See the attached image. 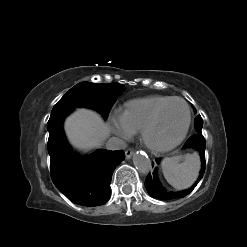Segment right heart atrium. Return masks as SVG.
<instances>
[{"label": "right heart atrium", "instance_id": "d8ad5b80", "mask_svg": "<svg viewBox=\"0 0 247 247\" xmlns=\"http://www.w3.org/2000/svg\"><path fill=\"white\" fill-rule=\"evenodd\" d=\"M111 126L113 132L121 136L122 138L127 139L133 134V130L127 124L123 114L114 115L112 118Z\"/></svg>", "mask_w": 247, "mask_h": 247}]
</instances>
